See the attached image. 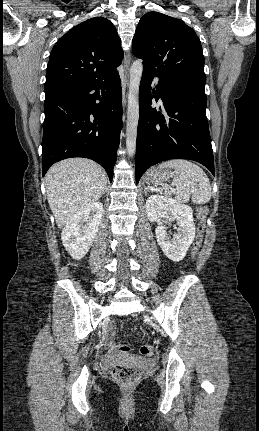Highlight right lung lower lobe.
Masks as SVG:
<instances>
[{"label":"right lung lower lobe","instance_id":"obj_1","mask_svg":"<svg viewBox=\"0 0 259 431\" xmlns=\"http://www.w3.org/2000/svg\"><path fill=\"white\" fill-rule=\"evenodd\" d=\"M45 96L43 176L57 161L85 157L102 165L112 182L122 128L118 72L104 80L56 88Z\"/></svg>","mask_w":259,"mask_h":431}]
</instances>
